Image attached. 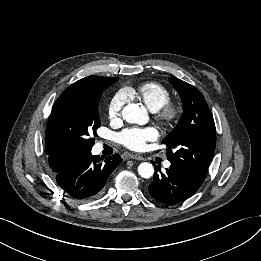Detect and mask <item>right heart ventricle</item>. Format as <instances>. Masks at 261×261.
<instances>
[{
    "instance_id": "e07e8e85",
    "label": "right heart ventricle",
    "mask_w": 261,
    "mask_h": 261,
    "mask_svg": "<svg viewBox=\"0 0 261 261\" xmlns=\"http://www.w3.org/2000/svg\"><path fill=\"white\" fill-rule=\"evenodd\" d=\"M124 91L127 96L140 99L152 112L158 111L170 99L169 90L155 82L144 83L135 89H125Z\"/></svg>"
}]
</instances>
